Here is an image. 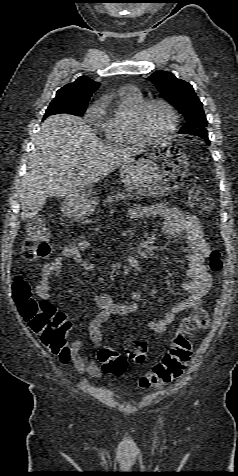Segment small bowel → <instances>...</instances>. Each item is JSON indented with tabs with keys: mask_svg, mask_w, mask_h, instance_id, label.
Wrapping results in <instances>:
<instances>
[{
	"mask_svg": "<svg viewBox=\"0 0 238 476\" xmlns=\"http://www.w3.org/2000/svg\"><path fill=\"white\" fill-rule=\"evenodd\" d=\"M127 216L131 220L151 217L161 218L163 220L162 231L165 237L173 240L183 235L189 249L185 256L189 280L183 284L186 297L176 303L169 311L165 312L160 319L147 323L148 328L152 332L161 334L166 331L177 314L200 306L203 297L210 289L212 276L205 265L210 247L205 240L199 220L195 216L183 213L176 208L167 207L162 204L135 206L128 211ZM89 245L90 242L87 236L75 239L63 248L58 257L43 266L39 275V282L36 285V294L41 300L50 302L51 286L49 281L50 279H60L66 259H72L85 270L91 271L95 269V263L86 256ZM156 293V288H152L149 292L152 297ZM142 296L141 291L132 292V297L136 301L140 300ZM94 301L100 310L89 324V339L97 348H101L103 343L101 326L112 315L133 316L137 311V304H125L116 301L107 292L95 295ZM84 345L85 341L83 340L73 342L65 355H58L59 359L62 363L71 361L76 370L81 373H88L93 377H99L103 368L95 361H91L81 354Z\"/></svg>",
	"mask_w": 238,
	"mask_h": 476,
	"instance_id": "1",
	"label": "small bowel"
}]
</instances>
